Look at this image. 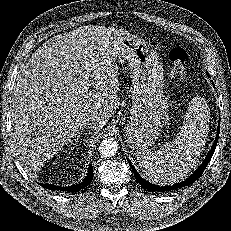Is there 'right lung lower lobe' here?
Masks as SVG:
<instances>
[{
	"label": "right lung lower lobe",
	"instance_id": "1",
	"mask_svg": "<svg viewBox=\"0 0 231 231\" xmlns=\"http://www.w3.org/2000/svg\"><path fill=\"white\" fill-rule=\"evenodd\" d=\"M93 179V167L89 165L88 167V174L87 177L83 180V182L74 185V186H68V187H61V186H55L52 184H40L42 187L49 189V190H62V191H68V192H78L81 189L87 187Z\"/></svg>",
	"mask_w": 231,
	"mask_h": 231
}]
</instances>
